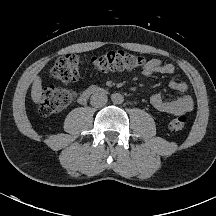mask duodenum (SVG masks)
<instances>
[{
    "label": "duodenum",
    "instance_id": "obj_1",
    "mask_svg": "<svg viewBox=\"0 0 216 216\" xmlns=\"http://www.w3.org/2000/svg\"><path fill=\"white\" fill-rule=\"evenodd\" d=\"M105 93V90L99 87H90L84 92L81 93L79 97V102L84 103L91 95L94 94H103ZM81 100V101H80Z\"/></svg>",
    "mask_w": 216,
    "mask_h": 216
}]
</instances>
